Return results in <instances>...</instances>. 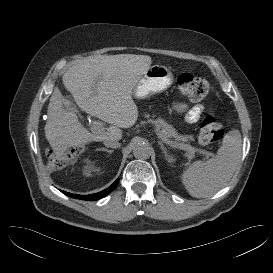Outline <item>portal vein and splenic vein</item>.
Wrapping results in <instances>:
<instances>
[{
    "mask_svg": "<svg viewBox=\"0 0 273 273\" xmlns=\"http://www.w3.org/2000/svg\"><path fill=\"white\" fill-rule=\"evenodd\" d=\"M93 130L96 132H101L104 130V128L99 123H95V125H93ZM156 134L164 143L168 144L169 146H172L175 148H180L182 150H186L190 154H194L195 152L200 151L201 153H205L206 156H210V154L208 152H204L203 150H198V149H195V148L188 146V145L181 146L179 144H176L175 142L169 140L168 138H166L163 134L159 133L158 131L156 132Z\"/></svg>",
    "mask_w": 273,
    "mask_h": 273,
    "instance_id": "1",
    "label": "portal vein and splenic vein"
}]
</instances>
